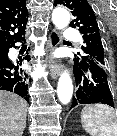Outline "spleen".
<instances>
[{"label": "spleen", "mask_w": 117, "mask_h": 136, "mask_svg": "<svg viewBox=\"0 0 117 136\" xmlns=\"http://www.w3.org/2000/svg\"><path fill=\"white\" fill-rule=\"evenodd\" d=\"M81 123L91 136H117V112L107 105H86L81 112Z\"/></svg>", "instance_id": "1"}]
</instances>
